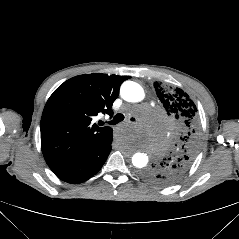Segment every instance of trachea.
Returning <instances> with one entry per match:
<instances>
[{
	"instance_id": "1",
	"label": "trachea",
	"mask_w": 239,
	"mask_h": 239,
	"mask_svg": "<svg viewBox=\"0 0 239 239\" xmlns=\"http://www.w3.org/2000/svg\"><path fill=\"white\" fill-rule=\"evenodd\" d=\"M123 120H124V116L122 114H117L114 116L113 120L109 121L108 123L111 125H116ZM131 121H135V119L131 118Z\"/></svg>"
}]
</instances>
